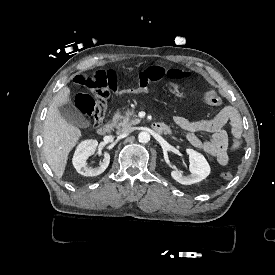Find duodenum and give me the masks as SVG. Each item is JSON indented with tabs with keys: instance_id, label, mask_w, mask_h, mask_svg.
<instances>
[{
	"instance_id": "duodenum-1",
	"label": "duodenum",
	"mask_w": 275,
	"mask_h": 275,
	"mask_svg": "<svg viewBox=\"0 0 275 275\" xmlns=\"http://www.w3.org/2000/svg\"><path fill=\"white\" fill-rule=\"evenodd\" d=\"M112 128H113V124L111 122H106L98 127L97 133L100 136H105L111 132ZM152 130L158 134H164V133L166 134L170 132V129L168 128V126L161 122H154L152 124Z\"/></svg>"
}]
</instances>
